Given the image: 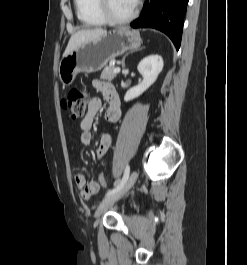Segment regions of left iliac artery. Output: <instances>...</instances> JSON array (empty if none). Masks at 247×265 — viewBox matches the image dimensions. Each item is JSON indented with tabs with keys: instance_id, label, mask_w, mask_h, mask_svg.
Masks as SVG:
<instances>
[{
	"instance_id": "1",
	"label": "left iliac artery",
	"mask_w": 247,
	"mask_h": 265,
	"mask_svg": "<svg viewBox=\"0 0 247 265\" xmlns=\"http://www.w3.org/2000/svg\"><path fill=\"white\" fill-rule=\"evenodd\" d=\"M129 173H130V167H129V165H127L125 168L124 175H123L122 179L116 183L115 188L107 191L106 196H109V195L115 193L116 191H118L124 185V183L127 181L128 177H129Z\"/></svg>"
}]
</instances>
